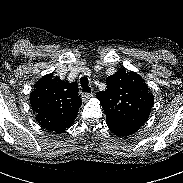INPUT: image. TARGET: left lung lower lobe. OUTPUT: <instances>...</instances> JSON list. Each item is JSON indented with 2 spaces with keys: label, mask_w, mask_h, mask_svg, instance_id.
Returning a JSON list of instances; mask_svg holds the SVG:
<instances>
[{
  "label": "left lung lower lobe",
  "mask_w": 183,
  "mask_h": 183,
  "mask_svg": "<svg viewBox=\"0 0 183 183\" xmlns=\"http://www.w3.org/2000/svg\"><path fill=\"white\" fill-rule=\"evenodd\" d=\"M109 129L115 133L118 136H129L133 133H135L138 128L136 127H126V126H121L119 124L113 123V122H106Z\"/></svg>",
  "instance_id": "0a47b994"
}]
</instances>
